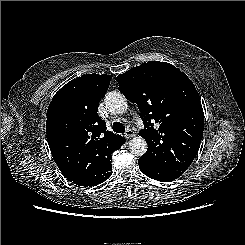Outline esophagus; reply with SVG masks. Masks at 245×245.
I'll use <instances>...</instances> for the list:
<instances>
[{
	"label": "esophagus",
	"mask_w": 245,
	"mask_h": 245,
	"mask_svg": "<svg viewBox=\"0 0 245 245\" xmlns=\"http://www.w3.org/2000/svg\"><path fill=\"white\" fill-rule=\"evenodd\" d=\"M134 136H135V133H134V131L131 130V129H127L126 132L124 133V137H125L126 139H131V138H133Z\"/></svg>",
	"instance_id": "esophagus-1"
}]
</instances>
